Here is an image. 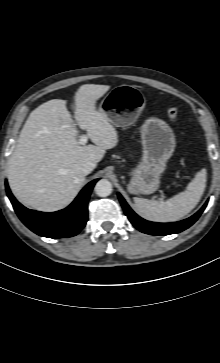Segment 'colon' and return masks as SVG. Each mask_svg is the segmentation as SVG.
<instances>
[{"instance_id":"1","label":"colon","mask_w":220,"mask_h":363,"mask_svg":"<svg viewBox=\"0 0 220 363\" xmlns=\"http://www.w3.org/2000/svg\"><path fill=\"white\" fill-rule=\"evenodd\" d=\"M167 114H168V117L170 118V120L174 121L177 118L178 112H177L176 108H170V109H168Z\"/></svg>"}]
</instances>
